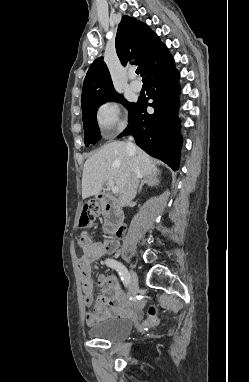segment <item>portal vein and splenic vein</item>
<instances>
[{
	"label": "portal vein and splenic vein",
	"mask_w": 249,
	"mask_h": 382,
	"mask_svg": "<svg viewBox=\"0 0 249 382\" xmlns=\"http://www.w3.org/2000/svg\"><path fill=\"white\" fill-rule=\"evenodd\" d=\"M109 186H110V188H111V191H112L114 194L119 193V188L114 184V182L110 181V182H109Z\"/></svg>",
	"instance_id": "1"
}]
</instances>
